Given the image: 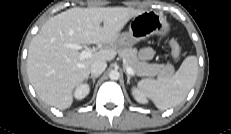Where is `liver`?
Instances as JSON below:
<instances>
[{"instance_id": "obj_1", "label": "liver", "mask_w": 231, "mask_h": 134, "mask_svg": "<svg viewBox=\"0 0 231 134\" xmlns=\"http://www.w3.org/2000/svg\"><path fill=\"white\" fill-rule=\"evenodd\" d=\"M142 12L125 7H75L46 21L33 37L27 57V74L40 99L61 110L70 107L73 90L87 80L91 65L115 58L119 32ZM97 43L112 48L81 59L79 50L67 46Z\"/></svg>"}]
</instances>
